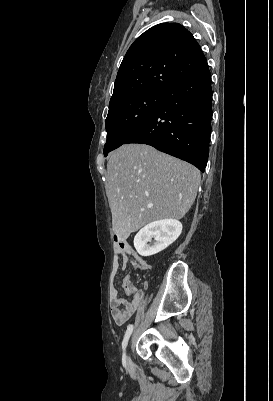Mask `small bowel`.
<instances>
[{
	"label": "small bowel",
	"mask_w": 273,
	"mask_h": 401,
	"mask_svg": "<svg viewBox=\"0 0 273 401\" xmlns=\"http://www.w3.org/2000/svg\"><path fill=\"white\" fill-rule=\"evenodd\" d=\"M118 246L123 247V252H115L114 254L110 276V295L112 318L115 324L122 326L126 324L130 320V318L137 312V310L143 303V300L150 298V291L139 290V286L137 284H133L132 279H130L131 277L129 275H126L125 277H123L127 278L124 281V290L126 293H129L130 301L129 303H119L123 302L122 292H118L115 286L116 278L119 271L125 269L126 262H131L132 265L137 268V262L144 260L136 255L130 245L126 243H120Z\"/></svg>",
	"instance_id": "small-bowel-1"
}]
</instances>
